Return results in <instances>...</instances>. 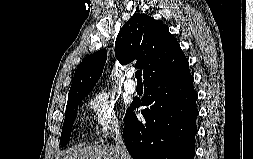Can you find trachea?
Returning <instances> with one entry per match:
<instances>
[{
    "instance_id": "1",
    "label": "trachea",
    "mask_w": 253,
    "mask_h": 159,
    "mask_svg": "<svg viewBox=\"0 0 253 159\" xmlns=\"http://www.w3.org/2000/svg\"><path fill=\"white\" fill-rule=\"evenodd\" d=\"M135 77L137 79V82H142V71L141 70L136 71Z\"/></svg>"
}]
</instances>
